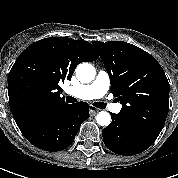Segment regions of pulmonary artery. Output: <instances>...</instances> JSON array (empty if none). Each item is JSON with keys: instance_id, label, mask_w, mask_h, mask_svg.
Instances as JSON below:
<instances>
[{"instance_id": "1", "label": "pulmonary artery", "mask_w": 178, "mask_h": 178, "mask_svg": "<svg viewBox=\"0 0 178 178\" xmlns=\"http://www.w3.org/2000/svg\"><path fill=\"white\" fill-rule=\"evenodd\" d=\"M110 88V77L105 70H100L93 82L84 85L70 86L65 89V92L73 97L82 100H92L102 98ZM105 107L114 112H120L122 106L110 101L105 102Z\"/></svg>"}]
</instances>
